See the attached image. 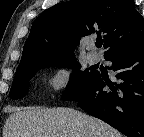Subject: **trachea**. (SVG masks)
<instances>
[{
	"instance_id": "trachea-1",
	"label": "trachea",
	"mask_w": 144,
	"mask_h": 137,
	"mask_svg": "<svg viewBox=\"0 0 144 137\" xmlns=\"http://www.w3.org/2000/svg\"><path fill=\"white\" fill-rule=\"evenodd\" d=\"M102 44H103V41H101V40H97V42H96L95 45H96L97 47H101Z\"/></svg>"
}]
</instances>
